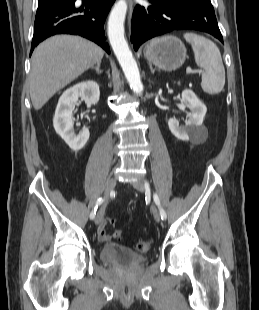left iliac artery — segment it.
Masks as SVG:
<instances>
[{
    "mask_svg": "<svg viewBox=\"0 0 259 310\" xmlns=\"http://www.w3.org/2000/svg\"><path fill=\"white\" fill-rule=\"evenodd\" d=\"M145 186L148 187V183H145ZM153 199H154L155 204L159 208L161 219L165 220L167 218V214H166L165 210L162 208L161 203H160V199L156 193L153 195Z\"/></svg>",
    "mask_w": 259,
    "mask_h": 310,
    "instance_id": "44dca946",
    "label": "left iliac artery"
}]
</instances>
